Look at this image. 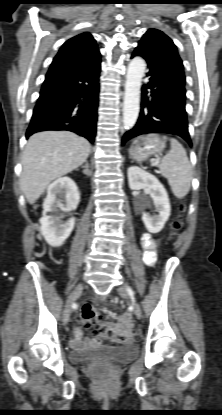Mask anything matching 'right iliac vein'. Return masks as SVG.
Returning a JSON list of instances; mask_svg holds the SVG:
<instances>
[{"label": "right iliac vein", "mask_w": 222, "mask_h": 415, "mask_svg": "<svg viewBox=\"0 0 222 415\" xmlns=\"http://www.w3.org/2000/svg\"><path fill=\"white\" fill-rule=\"evenodd\" d=\"M84 288L83 284H79L73 292L68 296L65 310L63 313V322L66 324L69 320L72 303L80 296Z\"/></svg>", "instance_id": "right-iliac-vein-1"}]
</instances>
